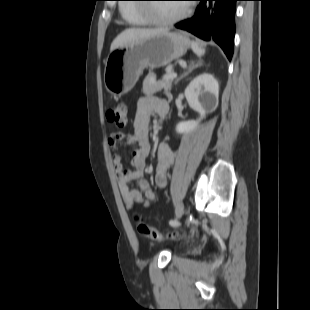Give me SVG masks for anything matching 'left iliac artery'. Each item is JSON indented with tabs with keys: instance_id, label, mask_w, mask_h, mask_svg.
<instances>
[{
	"instance_id": "44dca946",
	"label": "left iliac artery",
	"mask_w": 310,
	"mask_h": 310,
	"mask_svg": "<svg viewBox=\"0 0 310 310\" xmlns=\"http://www.w3.org/2000/svg\"><path fill=\"white\" fill-rule=\"evenodd\" d=\"M169 224L172 225V226H177V225H179V222L176 221V220H170Z\"/></svg>"
}]
</instances>
